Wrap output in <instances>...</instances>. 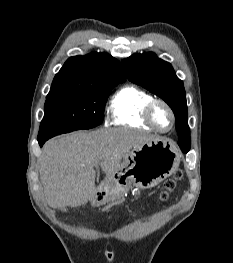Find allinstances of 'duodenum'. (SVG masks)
Masks as SVG:
<instances>
[{
	"instance_id": "obj_1",
	"label": "duodenum",
	"mask_w": 233,
	"mask_h": 263,
	"mask_svg": "<svg viewBox=\"0 0 233 263\" xmlns=\"http://www.w3.org/2000/svg\"><path fill=\"white\" fill-rule=\"evenodd\" d=\"M103 191V186H98L97 187V193L95 195V200L96 201H103L104 200V195L102 194Z\"/></svg>"
}]
</instances>
